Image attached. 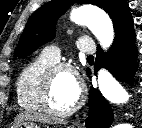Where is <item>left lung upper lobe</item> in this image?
Returning a JSON list of instances; mask_svg holds the SVG:
<instances>
[{
    "instance_id": "1",
    "label": "left lung upper lobe",
    "mask_w": 142,
    "mask_h": 128,
    "mask_svg": "<svg viewBox=\"0 0 142 128\" xmlns=\"http://www.w3.org/2000/svg\"><path fill=\"white\" fill-rule=\"evenodd\" d=\"M93 4L105 10L114 25L115 36L133 23L126 0H52L37 9L29 18L19 40L15 56L24 58L43 43L53 39L57 19L74 3Z\"/></svg>"
}]
</instances>
